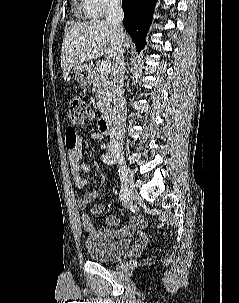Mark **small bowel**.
I'll return each instance as SVG.
<instances>
[{"label":"small bowel","mask_w":239,"mask_h":303,"mask_svg":"<svg viewBox=\"0 0 239 303\" xmlns=\"http://www.w3.org/2000/svg\"><path fill=\"white\" fill-rule=\"evenodd\" d=\"M94 116V113L91 112L87 118L92 120ZM81 125L82 122H78L68 128L65 133L68 165L74 184L79 189L87 186V180L82 176V173L91 171V166L81 161L83 155V140L76 131V128ZM91 137L100 141L104 139L103 136L98 133H92ZM98 196L99 192L92 190L83 194L77 201L78 207L83 210V228L90 239L95 241H110L117 237L130 236L136 230L147 226V220L143 217H132L125 224L121 225V220L118 217L109 215L105 218L106 227L98 228L91 217L100 215L104 210V206L102 204H94L89 207Z\"/></svg>","instance_id":"obj_1"}]
</instances>
